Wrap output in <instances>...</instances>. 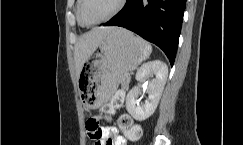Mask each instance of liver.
Here are the masks:
<instances>
[{"label":"liver","instance_id":"obj_1","mask_svg":"<svg viewBox=\"0 0 243 145\" xmlns=\"http://www.w3.org/2000/svg\"><path fill=\"white\" fill-rule=\"evenodd\" d=\"M116 28L117 27H95L78 38L74 47V61L77 77L86 60L94 53L103 39Z\"/></svg>","mask_w":243,"mask_h":145}]
</instances>
